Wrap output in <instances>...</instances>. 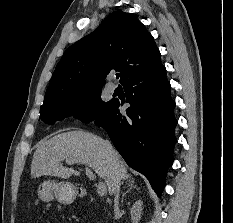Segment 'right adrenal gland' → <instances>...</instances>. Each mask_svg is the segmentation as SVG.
<instances>
[{
	"instance_id": "1",
	"label": "right adrenal gland",
	"mask_w": 233,
	"mask_h": 223,
	"mask_svg": "<svg viewBox=\"0 0 233 223\" xmlns=\"http://www.w3.org/2000/svg\"><path fill=\"white\" fill-rule=\"evenodd\" d=\"M134 183H135L134 179H128V177H127V181H125L127 191H124V193L121 197V205H123V199H124L126 193H130V191H132V189H139V187H137V185H134Z\"/></svg>"
}]
</instances>
